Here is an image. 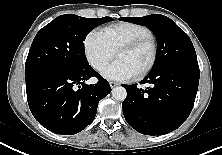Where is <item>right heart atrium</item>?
<instances>
[{
  "label": "right heart atrium",
  "mask_w": 222,
  "mask_h": 155,
  "mask_svg": "<svg viewBox=\"0 0 222 155\" xmlns=\"http://www.w3.org/2000/svg\"><path fill=\"white\" fill-rule=\"evenodd\" d=\"M84 52L89 64L101 71L113 58L115 51L100 31H91L84 40Z\"/></svg>",
  "instance_id": "obj_1"
}]
</instances>
